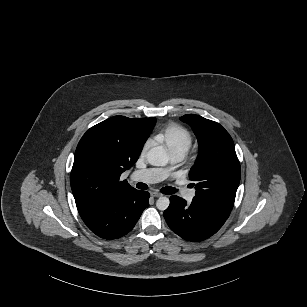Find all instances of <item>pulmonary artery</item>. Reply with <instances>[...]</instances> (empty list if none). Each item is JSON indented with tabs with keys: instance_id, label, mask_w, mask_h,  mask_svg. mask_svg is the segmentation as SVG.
<instances>
[{
	"instance_id": "e3ab8cb5",
	"label": "pulmonary artery",
	"mask_w": 307,
	"mask_h": 307,
	"mask_svg": "<svg viewBox=\"0 0 307 307\" xmlns=\"http://www.w3.org/2000/svg\"><path fill=\"white\" fill-rule=\"evenodd\" d=\"M172 158L174 160H181L185 153L182 152H174L171 153ZM167 176V171L161 168H150L148 170L142 169L138 171L136 178L138 182L145 184L147 182L156 184L162 181ZM135 177V172L130 173V178L133 179ZM174 186L176 190H178V194L180 198L187 200L191 198L193 191L191 187H189V183L187 179L180 177L176 179Z\"/></svg>"
}]
</instances>
